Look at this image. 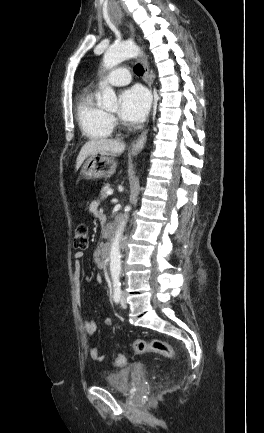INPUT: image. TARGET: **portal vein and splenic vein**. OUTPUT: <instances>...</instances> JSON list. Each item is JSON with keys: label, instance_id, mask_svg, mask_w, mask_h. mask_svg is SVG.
Here are the masks:
<instances>
[{"label": "portal vein and splenic vein", "instance_id": "obj_1", "mask_svg": "<svg viewBox=\"0 0 264 433\" xmlns=\"http://www.w3.org/2000/svg\"><path fill=\"white\" fill-rule=\"evenodd\" d=\"M107 194H108V195H112V194H113V191H112V190H109V191L107 192Z\"/></svg>", "mask_w": 264, "mask_h": 433}]
</instances>
